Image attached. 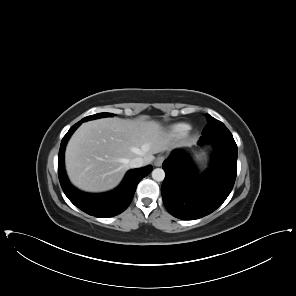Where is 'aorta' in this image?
<instances>
[{
    "instance_id": "1",
    "label": "aorta",
    "mask_w": 296,
    "mask_h": 296,
    "mask_svg": "<svg viewBox=\"0 0 296 296\" xmlns=\"http://www.w3.org/2000/svg\"><path fill=\"white\" fill-rule=\"evenodd\" d=\"M152 178L155 180V181H163L164 178H165V172L162 168H156L152 171Z\"/></svg>"
}]
</instances>
